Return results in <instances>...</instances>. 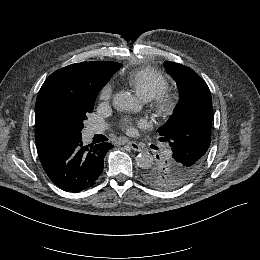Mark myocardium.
<instances>
[{"instance_id":"f54148a6","label":"myocardium","mask_w":260,"mask_h":260,"mask_svg":"<svg viewBox=\"0 0 260 260\" xmlns=\"http://www.w3.org/2000/svg\"><path fill=\"white\" fill-rule=\"evenodd\" d=\"M181 103V96L176 92L165 91L153 98L151 109L156 120H165L174 115Z\"/></svg>"}]
</instances>
